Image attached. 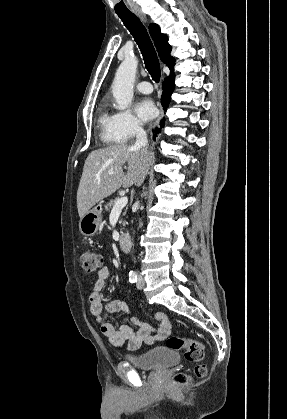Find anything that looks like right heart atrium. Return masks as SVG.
I'll use <instances>...</instances> for the list:
<instances>
[{"label": "right heart atrium", "mask_w": 287, "mask_h": 419, "mask_svg": "<svg viewBox=\"0 0 287 419\" xmlns=\"http://www.w3.org/2000/svg\"><path fill=\"white\" fill-rule=\"evenodd\" d=\"M115 128L121 139L130 141L143 132L142 123L129 110H119L114 114Z\"/></svg>", "instance_id": "right-heart-atrium-1"}]
</instances>
